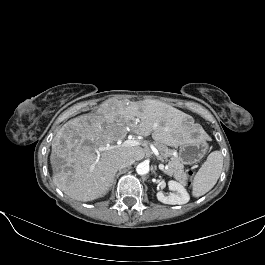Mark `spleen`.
Here are the masks:
<instances>
[{
    "label": "spleen",
    "mask_w": 265,
    "mask_h": 265,
    "mask_svg": "<svg viewBox=\"0 0 265 265\" xmlns=\"http://www.w3.org/2000/svg\"><path fill=\"white\" fill-rule=\"evenodd\" d=\"M223 168L220 151L211 152L192 181V195L200 197L210 191L217 183Z\"/></svg>",
    "instance_id": "spleen-1"
}]
</instances>
